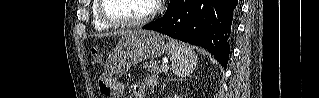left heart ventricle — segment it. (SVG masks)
<instances>
[{
	"label": "left heart ventricle",
	"mask_w": 319,
	"mask_h": 98,
	"mask_svg": "<svg viewBox=\"0 0 319 98\" xmlns=\"http://www.w3.org/2000/svg\"><path fill=\"white\" fill-rule=\"evenodd\" d=\"M151 9L150 0H107L105 12L113 19L132 21L145 16Z\"/></svg>",
	"instance_id": "obj_1"
}]
</instances>
